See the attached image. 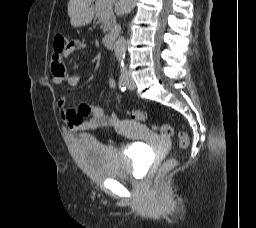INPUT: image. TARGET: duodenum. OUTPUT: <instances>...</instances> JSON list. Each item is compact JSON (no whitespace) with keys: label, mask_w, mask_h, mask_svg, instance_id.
Wrapping results in <instances>:
<instances>
[{"label":"duodenum","mask_w":256,"mask_h":228,"mask_svg":"<svg viewBox=\"0 0 256 228\" xmlns=\"http://www.w3.org/2000/svg\"><path fill=\"white\" fill-rule=\"evenodd\" d=\"M117 35H118V31L117 30H112L110 31L109 33H107L104 38H103V43L104 45L111 49L114 44H115V41L117 39Z\"/></svg>","instance_id":"1"}]
</instances>
